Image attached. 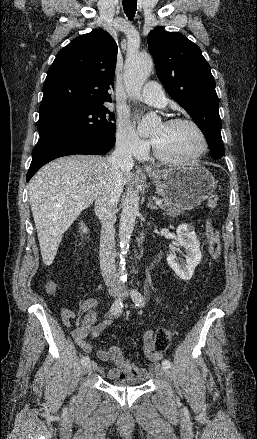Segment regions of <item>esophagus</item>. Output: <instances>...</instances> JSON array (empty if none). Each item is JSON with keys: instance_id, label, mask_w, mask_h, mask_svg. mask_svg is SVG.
<instances>
[{"instance_id": "34e87169", "label": "esophagus", "mask_w": 257, "mask_h": 439, "mask_svg": "<svg viewBox=\"0 0 257 439\" xmlns=\"http://www.w3.org/2000/svg\"><path fill=\"white\" fill-rule=\"evenodd\" d=\"M144 168H145L146 170H151V169H152V167L149 166V165H144Z\"/></svg>"}]
</instances>
